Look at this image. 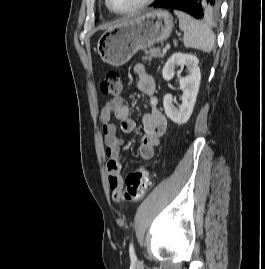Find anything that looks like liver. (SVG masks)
Returning a JSON list of instances; mask_svg holds the SVG:
<instances>
[{
	"mask_svg": "<svg viewBox=\"0 0 265 269\" xmlns=\"http://www.w3.org/2000/svg\"><path fill=\"white\" fill-rule=\"evenodd\" d=\"M124 22V21H123ZM123 22H120V23H118V24H115L114 26H111V27H109L108 29H112V28H114V27H117V26H119L120 24H122Z\"/></svg>",
	"mask_w": 265,
	"mask_h": 269,
	"instance_id": "obj_1",
	"label": "liver"
}]
</instances>
